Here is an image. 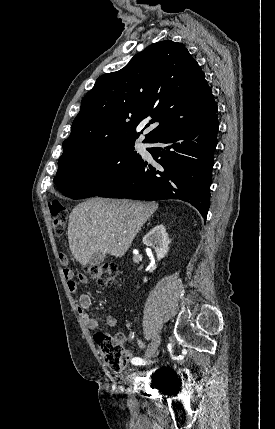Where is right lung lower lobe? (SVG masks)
<instances>
[{"label":"right lung lower lobe","mask_w":275,"mask_h":429,"mask_svg":"<svg viewBox=\"0 0 275 429\" xmlns=\"http://www.w3.org/2000/svg\"><path fill=\"white\" fill-rule=\"evenodd\" d=\"M217 111L203 119L161 132L147 148L157 168L141 159L135 168L97 196L138 200L180 199L206 220L213 154L217 145Z\"/></svg>","instance_id":"right-lung-lower-lobe-1"}]
</instances>
